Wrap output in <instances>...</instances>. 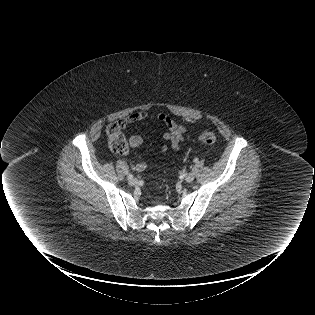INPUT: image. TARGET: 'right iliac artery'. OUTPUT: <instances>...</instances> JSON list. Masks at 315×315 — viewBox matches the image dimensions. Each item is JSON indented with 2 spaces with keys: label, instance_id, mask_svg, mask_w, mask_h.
Returning <instances> with one entry per match:
<instances>
[{
  "label": "right iliac artery",
  "instance_id": "obj_1",
  "mask_svg": "<svg viewBox=\"0 0 315 315\" xmlns=\"http://www.w3.org/2000/svg\"><path fill=\"white\" fill-rule=\"evenodd\" d=\"M127 178H128V179H132V178H133V175H132V174H128V175H127Z\"/></svg>",
  "mask_w": 315,
  "mask_h": 315
}]
</instances>
